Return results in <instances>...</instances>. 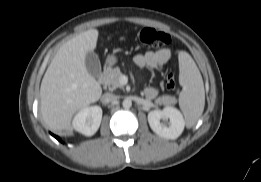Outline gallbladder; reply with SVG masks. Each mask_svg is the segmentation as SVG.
Listing matches in <instances>:
<instances>
[{
    "label": "gallbladder",
    "mask_w": 261,
    "mask_h": 182,
    "mask_svg": "<svg viewBox=\"0 0 261 182\" xmlns=\"http://www.w3.org/2000/svg\"><path fill=\"white\" fill-rule=\"evenodd\" d=\"M85 65L88 73L94 78L101 74V63L96 53L90 51L86 54Z\"/></svg>",
    "instance_id": "obj_1"
}]
</instances>
